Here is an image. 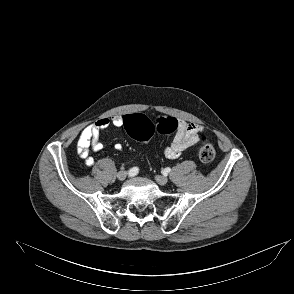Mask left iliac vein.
<instances>
[{
  "label": "left iliac vein",
  "instance_id": "left-iliac-vein-1",
  "mask_svg": "<svg viewBox=\"0 0 294 294\" xmlns=\"http://www.w3.org/2000/svg\"><path fill=\"white\" fill-rule=\"evenodd\" d=\"M155 180L159 185H166L168 183V178L161 175L155 176Z\"/></svg>",
  "mask_w": 294,
  "mask_h": 294
}]
</instances>
